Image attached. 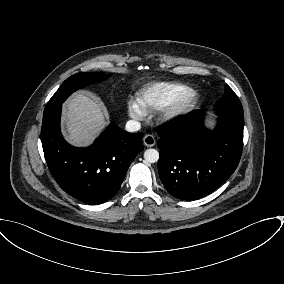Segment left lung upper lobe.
<instances>
[{
    "label": "left lung upper lobe",
    "mask_w": 284,
    "mask_h": 284,
    "mask_svg": "<svg viewBox=\"0 0 284 284\" xmlns=\"http://www.w3.org/2000/svg\"><path fill=\"white\" fill-rule=\"evenodd\" d=\"M224 91L225 93L216 102L215 106H227L237 109H243L239 98L227 84L224 87Z\"/></svg>",
    "instance_id": "obj_1"
}]
</instances>
